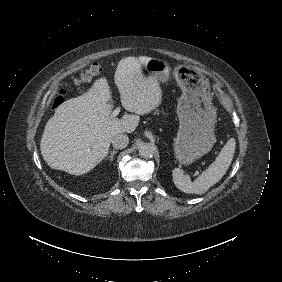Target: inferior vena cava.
I'll return each mask as SVG.
<instances>
[{"mask_svg":"<svg viewBox=\"0 0 282 282\" xmlns=\"http://www.w3.org/2000/svg\"><path fill=\"white\" fill-rule=\"evenodd\" d=\"M129 143V138L124 133H119L112 138L113 147L116 149H124Z\"/></svg>","mask_w":282,"mask_h":282,"instance_id":"obj_1","label":"inferior vena cava"}]
</instances>
